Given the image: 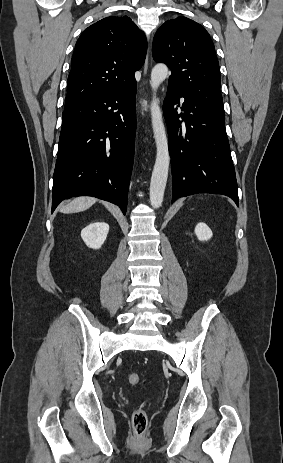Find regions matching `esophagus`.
<instances>
[{"mask_svg": "<svg viewBox=\"0 0 283 463\" xmlns=\"http://www.w3.org/2000/svg\"><path fill=\"white\" fill-rule=\"evenodd\" d=\"M147 70H148V56L146 57L145 64H144V75L147 74Z\"/></svg>", "mask_w": 283, "mask_h": 463, "instance_id": "1", "label": "esophagus"}]
</instances>
